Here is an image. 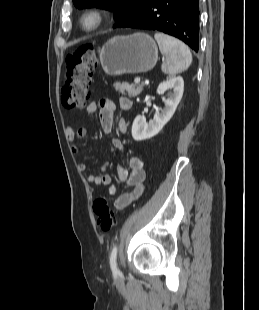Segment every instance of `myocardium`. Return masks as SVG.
<instances>
[{"label":"myocardium","instance_id":"f54148a6","mask_svg":"<svg viewBox=\"0 0 259 310\" xmlns=\"http://www.w3.org/2000/svg\"><path fill=\"white\" fill-rule=\"evenodd\" d=\"M105 21V14L101 9H88L80 19V26L84 31L92 32L99 29Z\"/></svg>","mask_w":259,"mask_h":310}]
</instances>
